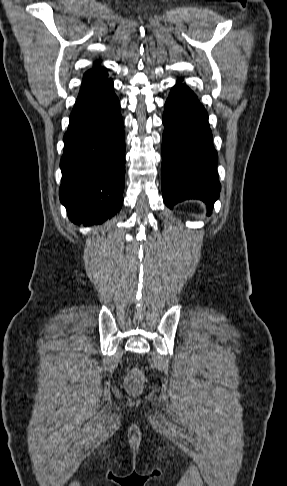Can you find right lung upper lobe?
Returning <instances> with one entry per match:
<instances>
[{"label": "right lung upper lobe", "instance_id": "cb5924a9", "mask_svg": "<svg viewBox=\"0 0 287 486\" xmlns=\"http://www.w3.org/2000/svg\"><path fill=\"white\" fill-rule=\"evenodd\" d=\"M108 76L105 68L100 66V61H96L93 64V68L88 70L84 76L82 81V87L100 82L106 79Z\"/></svg>", "mask_w": 287, "mask_h": 486}]
</instances>
